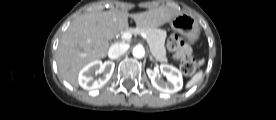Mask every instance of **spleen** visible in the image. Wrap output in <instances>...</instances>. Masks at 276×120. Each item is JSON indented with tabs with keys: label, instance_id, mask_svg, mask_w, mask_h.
<instances>
[{
	"label": "spleen",
	"instance_id": "obj_1",
	"mask_svg": "<svg viewBox=\"0 0 276 120\" xmlns=\"http://www.w3.org/2000/svg\"><path fill=\"white\" fill-rule=\"evenodd\" d=\"M203 72L199 71L197 72L192 78L191 80L186 84V88H190L193 85H195L196 83H198L200 81V79L202 78Z\"/></svg>",
	"mask_w": 276,
	"mask_h": 120
}]
</instances>
